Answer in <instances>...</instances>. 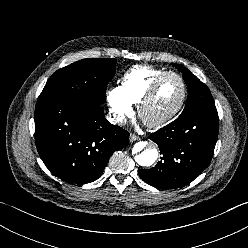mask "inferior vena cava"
Returning <instances> with one entry per match:
<instances>
[{
    "instance_id": "602c4592",
    "label": "inferior vena cava",
    "mask_w": 248,
    "mask_h": 248,
    "mask_svg": "<svg viewBox=\"0 0 248 248\" xmlns=\"http://www.w3.org/2000/svg\"><path fill=\"white\" fill-rule=\"evenodd\" d=\"M106 118L110 123L115 124V125H123L126 123L125 117L121 114L119 115L108 114Z\"/></svg>"
}]
</instances>
